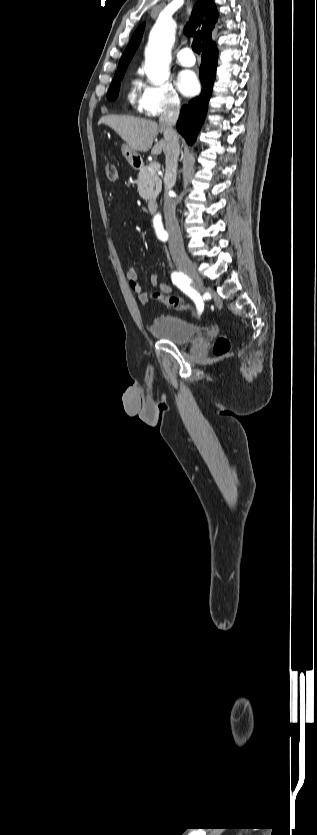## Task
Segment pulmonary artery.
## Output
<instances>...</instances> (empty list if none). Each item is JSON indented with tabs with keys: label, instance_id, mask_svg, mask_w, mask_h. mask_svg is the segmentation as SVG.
Segmentation results:
<instances>
[{
	"label": "pulmonary artery",
	"instance_id": "1",
	"mask_svg": "<svg viewBox=\"0 0 317 835\" xmlns=\"http://www.w3.org/2000/svg\"><path fill=\"white\" fill-rule=\"evenodd\" d=\"M178 62L185 67L193 66L196 62L194 54L189 47H184L177 53Z\"/></svg>",
	"mask_w": 317,
	"mask_h": 835
}]
</instances>
